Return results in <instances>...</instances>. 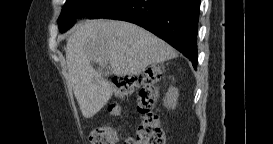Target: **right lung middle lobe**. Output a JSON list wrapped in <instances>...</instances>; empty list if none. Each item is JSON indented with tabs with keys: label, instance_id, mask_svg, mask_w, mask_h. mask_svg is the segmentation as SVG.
Segmentation results:
<instances>
[{
	"label": "right lung middle lobe",
	"instance_id": "dd1d6c3e",
	"mask_svg": "<svg viewBox=\"0 0 273 144\" xmlns=\"http://www.w3.org/2000/svg\"><path fill=\"white\" fill-rule=\"evenodd\" d=\"M109 0H66L58 19L60 32L73 26L77 18L90 16Z\"/></svg>",
	"mask_w": 273,
	"mask_h": 144
}]
</instances>
